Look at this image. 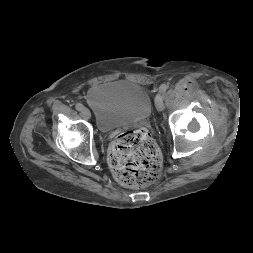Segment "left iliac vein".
I'll use <instances>...</instances> for the list:
<instances>
[{
    "label": "left iliac vein",
    "mask_w": 253,
    "mask_h": 253,
    "mask_svg": "<svg viewBox=\"0 0 253 253\" xmlns=\"http://www.w3.org/2000/svg\"><path fill=\"white\" fill-rule=\"evenodd\" d=\"M155 104H156L157 110H159V111H162V110H163V108H164V103H163V98H162V96H161L160 94H158V95L156 96Z\"/></svg>",
    "instance_id": "left-iliac-vein-1"
}]
</instances>
